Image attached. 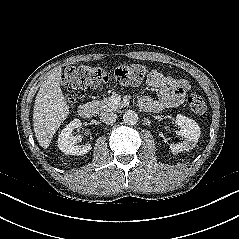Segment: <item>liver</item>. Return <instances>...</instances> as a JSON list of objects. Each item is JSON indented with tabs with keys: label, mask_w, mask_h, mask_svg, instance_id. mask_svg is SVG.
Wrapping results in <instances>:
<instances>
[{
	"label": "liver",
	"mask_w": 239,
	"mask_h": 239,
	"mask_svg": "<svg viewBox=\"0 0 239 239\" xmlns=\"http://www.w3.org/2000/svg\"><path fill=\"white\" fill-rule=\"evenodd\" d=\"M62 69L54 68L43 81L33 109L34 132L43 149H47L57 129L67 118L69 108L60 88Z\"/></svg>",
	"instance_id": "liver-1"
}]
</instances>
